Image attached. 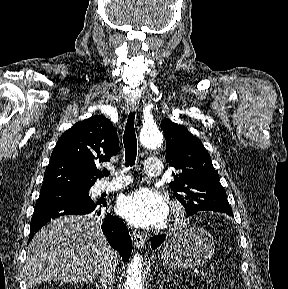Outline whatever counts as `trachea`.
<instances>
[{
    "instance_id": "1",
    "label": "trachea",
    "mask_w": 288,
    "mask_h": 289,
    "mask_svg": "<svg viewBox=\"0 0 288 289\" xmlns=\"http://www.w3.org/2000/svg\"><path fill=\"white\" fill-rule=\"evenodd\" d=\"M135 113L131 112L128 116L127 123L125 126L123 143L125 147V166H133L135 164L137 155V139L134 128ZM103 174L109 176L110 172L104 170Z\"/></svg>"
}]
</instances>
